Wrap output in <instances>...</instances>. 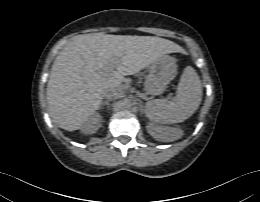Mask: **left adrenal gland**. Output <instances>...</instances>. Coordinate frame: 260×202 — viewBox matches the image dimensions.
Returning <instances> with one entry per match:
<instances>
[{
    "label": "left adrenal gland",
    "instance_id": "left-adrenal-gland-1",
    "mask_svg": "<svg viewBox=\"0 0 260 202\" xmlns=\"http://www.w3.org/2000/svg\"><path fill=\"white\" fill-rule=\"evenodd\" d=\"M141 112H142V113H146V109H145V107H144L143 104H141Z\"/></svg>",
    "mask_w": 260,
    "mask_h": 202
}]
</instances>
